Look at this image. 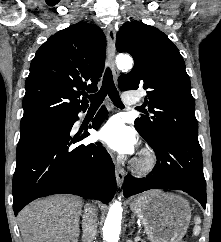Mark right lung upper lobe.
Instances as JSON below:
<instances>
[{
  "mask_svg": "<svg viewBox=\"0 0 221 242\" xmlns=\"http://www.w3.org/2000/svg\"><path fill=\"white\" fill-rule=\"evenodd\" d=\"M105 50L103 31L86 22L49 37L30 65L20 126L87 108L81 95L97 91Z\"/></svg>",
  "mask_w": 221,
  "mask_h": 242,
  "instance_id": "1",
  "label": "right lung upper lobe"
}]
</instances>
